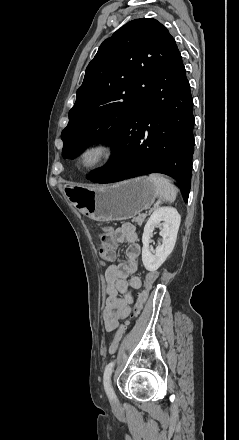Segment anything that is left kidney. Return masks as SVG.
Returning <instances> with one entry per match:
<instances>
[{
  "instance_id": "obj_1",
  "label": "left kidney",
  "mask_w": 239,
  "mask_h": 440,
  "mask_svg": "<svg viewBox=\"0 0 239 440\" xmlns=\"http://www.w3.org/2000/svg\"><path fill=\"white\" fill-rule=\"evenodd\" d=\"M161 222H163V228L160 230L159 236L163 238L162 244L157 246L155 252H151L149 248L150 238L154 228L161 226ZM180 222L181 218L177 210L169 208V206L158 208L150 216L142 236V262L148 272H156L165 262L167 256L171 254L175 246Z\"/></svg>"
}]
</instances>
